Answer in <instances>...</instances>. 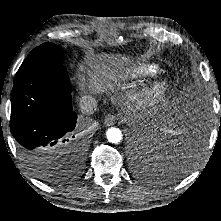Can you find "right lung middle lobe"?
<instances>
[{"label":"right lung middle lobe","instance_id":"right-lung-middle-lobe-1","mask_svg":"<svg viewBox=\"0 0 221 221\" xmlns=\"http://www.w3.org/2000/svg\"><path fill=\"white\" fill-rule=\"evenodd\" d=\"M63 56L64 51L56 44L50 42L41 44L34 48L23 61L16 73L14 83L43 68L60 65Z\"/></svg>","mask_w":221,"mask_h":221}]
</instances>
